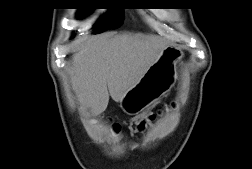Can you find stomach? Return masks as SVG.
<instances>
[{
    "mask_svg": "<svg viewBox=\"0 0 252 169\" xmlns=\"http://www.w3.org/2000/svg\"><path fill=\"white\" fill-rule=\"evenodd\" d=\"M180 55L174 48H165L139 83L120 101L121 109L128 115H137L169 92L177 79L176 63Z\"/></svg>",
    "mask_w": 252,
    "mask_h": 169,
    "instance_id": "stomach-1",
    "label": "stomach"
}]
</instances>
